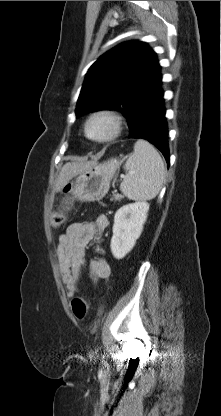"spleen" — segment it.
Masks as SVG:
<instances>
[{"mask_svg":"<svg viewBox=\"0 0 221 416\" xmlns=\"http://www.w3.org/2000/svg\"><path fill=\"white\" fill-rule=\"evenodd\" d=\"M124 169L126 176L120 190L128 199L146 201L158 195L165 180V167L160 154L149 142L136 141Z\"/></svg>","mask_w":221,"mask_h":416,"instance_id":"1","label":"spleen"}]
</instances>
